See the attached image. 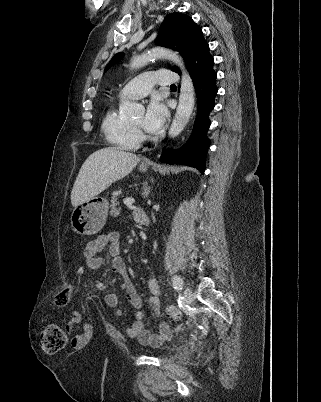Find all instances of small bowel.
I'll use <instances>...</instances> for the list:
<instances>
[{
  "label": "small bowel",
  "mask_w": 321,
  "mask_h": 402,
  "mask_svg": "<svg viewBox=\"0 0 321 402\" xmlns=\"http://www.w3.org/2000/svg\"><path fill=\"white\" fill-rule=\"evenodd\" d=\"M106 246L109 247V253L112 257V270L123 277L127 299L134 309L133 321L126 329L128 337L145 345L157 346L161 344L164 340L170 338V327L167 323L162 322L159 325V332L157 334L152 333L145 327L144 313L141 309L142 300L130 279L126 264L120 255V234L118 232L114 231L101 234L86 244L84 249V257L86 259L87 269L94 271L102 267L103 259L99 254ZM147 288L150 293V297L148 298V306L153 314L160 315L162 313L160 287L156 278L149 277L147 281ZM105 303L108 307L115 310L116 316L120 317L123 315V310L119 306V297L116 293H107L105 296ZM77 325H82V328L79 332L73 334L71 342L74 348H81L87 341L91 333V329L88 325L83 324L82 315L78 312H74L67 322L66 329L69 332H73Z\"/></svg>",
  "instance_id": "obj_1"
}]
</instances>
